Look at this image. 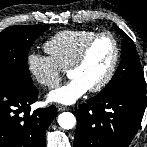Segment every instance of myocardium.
I'll return each instance as SVG.
<instances>
[{"mask_svg": "<svg viewBox=\"0 0 147 147\" xmlns=\"http://www.w3.org/2000/svg\"><path fill=\"white\" fill-rule=\"evenodd\" d=\"M101 37H109L112 40L114 45V57H113L111 66L107 74L105 75V77L97 85L89 89L93 93H97L104 90L112 81L116 73V70L118 68L120 56H121V49H120L119 42L113 33L109 31H102V32H97L96 34H94L91 38H89L86 41V43L81 48L75 60L71 63V65L67 69V74L69 75L71 71L82 66L88 56V53L91 47Z\"/></svg>", "mask_w": 147, "mask_h": 147, "instance_id": "obj_1", "label": "myocardium"}]
</instances>
